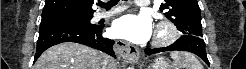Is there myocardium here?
<instances>
[{"label": "myocardium", "instance_id": "1", "mask_svg": "<svg viewBox=\"0 0 246 69\" xmlns=\"http://www.w3.org/2000/svg\"><path fill=\"white\" fill-rule=\"evenodd\" d=\"M178 37L177 28L170 20H162L157 24L153 45L162 47L171 44Z\"/></svg>", "mask_w": 246, "mask_h": 69}]
</instances>
